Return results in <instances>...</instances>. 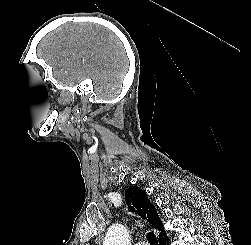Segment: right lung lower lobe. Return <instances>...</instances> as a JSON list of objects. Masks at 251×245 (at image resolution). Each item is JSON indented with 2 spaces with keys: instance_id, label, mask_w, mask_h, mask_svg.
Returning a JSON list of instances; mask_svg holds the SVG:
<instances>
[{
  "instance_id": "98d812e1",
  "label": "right lung lower lobe",
  "mask_w": 251,
  "mask_h": 245,
  "mask_svg": "<svg viewBox=\"0 0 251 245\" xmlns=\"http://www.w3.org/2000/svg\"><path fill=\"white\" fill-rule=\"evenodd\" d=\"M159 242H160V245H169V239L166 236V234L162 237H159Z\"/></svg>"
}]
</instances>
